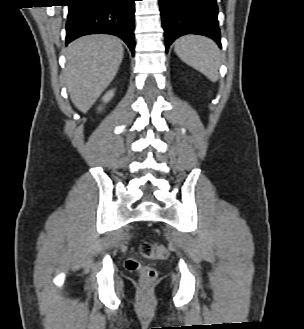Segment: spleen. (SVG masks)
Returning a JSON list of instances; mask_svg holds the SVG:
<instances>
[{
    "instance_id": "1",
    "label": "spleen",
    "mask_w": 304,
    "mask_h": 329,
    "mask_svg": "<svg viewBox=\"0 0 304 329\" xmlns=\"http://www.w3.org/2000/svg\"><path fill=\"white\" fill-rule=\"evenodd\" d=\"M175 53L187 65L216 82L219 76L220 51L209 38L186 35L175 42Z\"/></svg>"
}]
</instances>
